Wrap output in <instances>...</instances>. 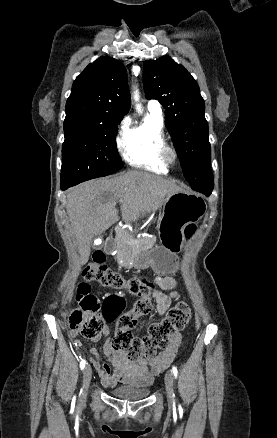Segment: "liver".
Here are the masks:
<instances>
[{"instance_id": "obj_1", "label": "liver", "mask_w": 277, "mask_h": 438, "mask_svg": "<svg viewBox=\"0 0 277 438\" xmlns=\"http://www.w3.org/2000/svg\"><path fill=\"white\" fill-rule=\"evenodd\" d=\"M173 192L176 190L171 182L139 170H129L112 180H90L70 188L67 214L81 266L89 260L92 238L105 234L117 222V204H120L122 220L130 224L137 222L143 212L161 208L166 194Z\"/></svg>"}]
</instances>
